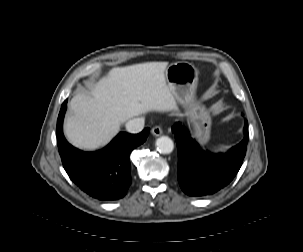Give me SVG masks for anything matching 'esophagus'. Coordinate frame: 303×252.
<instances>
[{
  "label": "esophagus",
  "mask_w": 303,
  "mask_h": 252,
  "mask_svg": "<svg viewBox=\"0 0 303 252\" xmlns=\"http://www.w3.org/2000/svg\"><path fill=\"white\" fill-rule=\"evenodd\" d=\"M151 133H152L153 136L159 137V136L162 135L163 132H162L161 127H159V126H154V127L151 129Z\"/></svg>",
  "instance_id": "1"
}]
</instances>
